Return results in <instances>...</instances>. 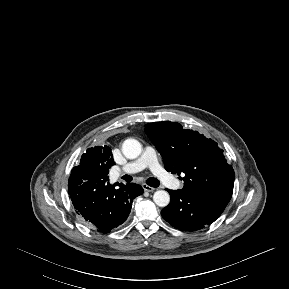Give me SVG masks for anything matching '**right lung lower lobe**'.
<instances>
[{"label":"right lung lower lobe","mask_w":289,"mask_h":289,"mask_svg":"<svg viewBox=\"0 0 289 289\" xmlns=\"http://www.w3.org/2000/svg\"><path fill=\"white\" fill-rule=\"evenodd\" d=\"M107 179L73 168L68 193L79 215L88 227L106 234L121 225L129 216L133 199L143 194L135 183L110 185Z\"/></svg>","instance_id":"right-lung-lower-lobe-1"}]
</instances>
